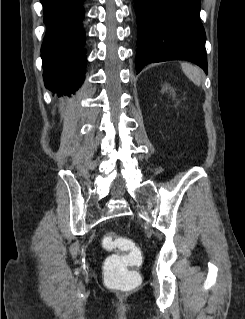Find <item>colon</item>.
Masks as SVG:
<instances>
[{
    "label": "colon",
    "instance_id": "5ec220e1",
    "mask_svg": "<svg viewBox=\"0 0 245 319\" xmlns=\"http://www.w3.org/2000/svg\"><path fill=\"white\" fill-rule=\"evenodd\" d=\"M101 243L106 250L119 251V254L110 256L106 262L105 275L108 282L116 285H137L138 277L129 271V268L141 259L135 243L131 239L116 235L103 237Z\"/></svg>",
    "mask_w": 245,
    "mask_h": 319
}]
</instances>
